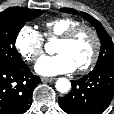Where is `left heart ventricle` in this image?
Returning a JSON list of instances; mask_svg holds the SVG:
<instances>
[{
	"label": "left heart ventricle",
	"instance_id": "left-heart-ventricle-1",
	"mask_svg": "<svg viewBox=\"0 0 114 114\" xmlns=\"http://www.w3.org/2000/svg\"><path fill=\"white\" fill-rule=\"evenodd\" d=\"M94 48V41L92 36L83 31L79 33L72 41L59 40L56 45L57 53H64L68 55L76 67L85 64L92 55Z\"/></svg>",
	"mask_w": 114,
	"mask_h": 114
}]
</instances>
